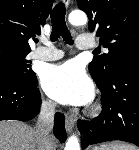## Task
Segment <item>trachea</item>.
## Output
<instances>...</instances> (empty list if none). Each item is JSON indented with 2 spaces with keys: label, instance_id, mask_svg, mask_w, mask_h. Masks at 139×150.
<instances>
[{
  "label": "trachea",
  "instance_id": "3493384b",
  "mask_svg": "<svg viewBox=\"0 0 139 150\" xmlns=\"http://www.w3.org/2000/svg\"><path fill=\"white\" fill-rule=\"evenodd\" d=\"M52 33L50 35L51 41H56L60 36L69 44H73L72 36L66 26L65 22V5L58 3L51 12Z\"/></svg>",
  "mask_w": 139,
  "mask_h": 150
}]
</instances>
